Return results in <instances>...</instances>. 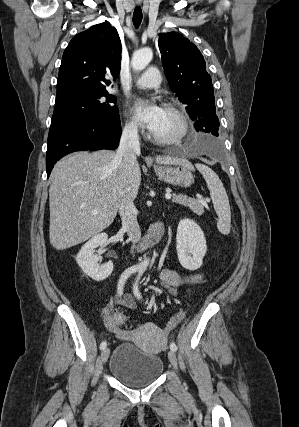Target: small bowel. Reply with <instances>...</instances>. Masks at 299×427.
<instances>
[{
    "label": "small bowel",
    "mask_w": 299,
    "mask_h": 427,
    "mask_svg": "<svg viewBox=\"0 0 299 427\" xmlns=\"http://www.w3.org/2000/svg\"><path fill=\"white\" fill-rule=\"evenodd\" d=\"M201 278L202 277L199 274H182L170 269H163L160 272L161 284L171 292H175V290L179 287L198 283ZM118 304L130 309H134L137 306L133 297L128 293H122L118 299ZM117 314H119V312L112 313L111 307L105 308L102 311L103 322L106 328L117 338L127 339L131 336L132 333L131 331L120 330L119 327L115 324L114 317Z\"/></svg>",
    "instance_id": "obj_1"
}]
</instances>
